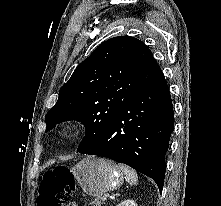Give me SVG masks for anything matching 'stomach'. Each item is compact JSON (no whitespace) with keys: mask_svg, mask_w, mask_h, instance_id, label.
Here are the masks:
<instances>
[{"mask_svg":"<svg viewBox=\"0 0 221 206\" xmlns=\"http://www.w3.org/2000/svg\"><path fill=\"white\" fill-rule=\"evenodd\" d=\"M71 171L82 189L96 196L119 188L124 180L120 166L103 158L87 157Z\"/></svg>","mask_w":221,"mask_h":206,"instance_id":"stomach-1","label":"stomach"}]
</instances>
